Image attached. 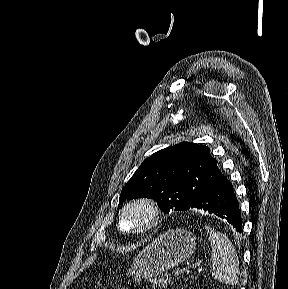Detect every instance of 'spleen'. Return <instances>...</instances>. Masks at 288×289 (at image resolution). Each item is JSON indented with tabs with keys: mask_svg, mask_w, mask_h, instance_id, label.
<instances>
[{
	"mask_svg": "<svg viewBox=\"0 0 288 289\" xmlns=\"http://www.w3.org/2000/svg\"><path fill=\"white\" fill-rule=\"evenodd\" d=\"M211 245L212 276L228 285H236L239 276V260L228 237L206 227Z\"/></svg>",
	"mask_w": 288,
	"mask_h": 289,
	"instance_id": "spleen-1",
	"label": "spleen"
}]
</instances>
